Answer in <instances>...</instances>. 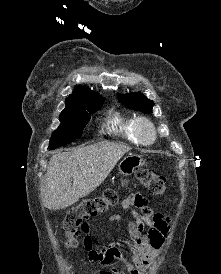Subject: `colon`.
Returning a JSON list of instances; mask_svg holds the SVG:
<instances>
[{
    "instance_id": "5ec220e1",
    "label": "colon",
    "mask_w": 221,
    "mask_h": 274,
    "mask_svg": "<svg viewBox=\"0 0 221 274\" xmlns=\"http://www.w3.org/2000/svg\"><path fill=\"white\" fill-rule=\"evenodd\" d=\"M135 177L150 194L160 196L165 192V178L152 169L141 168L136 171ZM117 199L118 194L116 190L109 188L102 195L85 199L78 206L70 209L63 220V230L67 237V245L71 248L77 247V233L84 220L106 211L117 202Z\"/></svg>"
}]
</instances>
